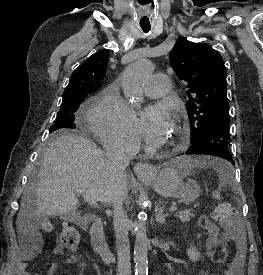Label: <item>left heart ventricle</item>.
Here are the masks:
<instances>
[{"mask_svg":"<svg viewBox=\"0 0 263 275\" xmlns=\"http://www.w3.org/2000/svg\"><path fill=\"white\" fill-rule=\"evenodd\" d=\"M175 137H176V128H175V125L172 124L169 130L167 131V133L165 134L161 143L163 145L169 144L175 139Z\"/></svg>","mask_w":263,"mask_h":275,"instance_id":"left-heart-ventricle-1","label":"left heart ventricle"}]
</instances>
